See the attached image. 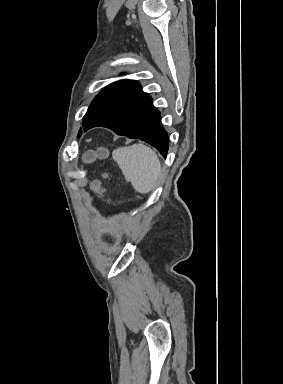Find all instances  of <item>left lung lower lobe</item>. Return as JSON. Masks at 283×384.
<instances>
[{
	"instance_id": "obj_1",
	"label": "left lung lower lobe",
	"mask_w": 283,
	"mask_h": 384,
	"mask_svg": "<svg viewBox=\"0 0 283 384\" xmlns=\"http://www.w3.org/2000/svg\"><path fill=\"white\" fill-rule=\"evenodd\" d=\"M96 126L110 128L128 138H138L153 145L164 157L167 155L168 135L161 125L160 112L140 85L85 126L84 131Z\"/></svg>"
}]
</instances>
